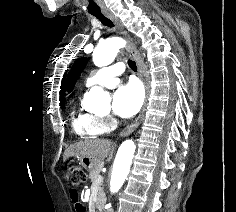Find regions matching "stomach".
<instances>
[{
  "label": "stomach",
  "instance_id": "stomach-1",
  "mask_svg": "<svg viewBox=\"0 0 236 212\" xmlns=\"http://www.w3.org/2000/svg\"><path fill=\"white\" fill-rule=\"evenodd\" d=\"M100 163L99 159L90 157V156H83L79 159V164L86 170L91 171L95 167H97Z\"/></svg>",
  "mask_w": 236,
  "mask_h": 212
}]
</instances>
